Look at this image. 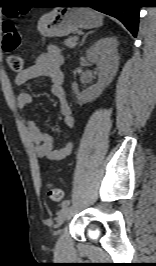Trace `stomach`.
Instances as JSON below:
<instances>
[{"label": "stomach", "instance_id": "1", "mask_svg": "<svg viewBox=\"0 0 156 266\" xmlns=\"http://www.w3.org/2000/svg\"><path fill=\"white\" fill-rule=\"evenodd\" d=\"M102 22L103 16L92 9L59 7L40 18L38 30L44 37H63L78 28L99 27Z\"/></svg>", "mask_w": 156, "mask_h": 266}]
</instances>
